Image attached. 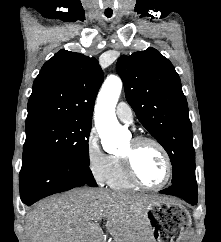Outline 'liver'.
I'll list each match as a JSON object with an SVG mask.
<instances>
[{
	"label": "liver",
	"instance_id": "liver-1",
	"mask_svg": "<svg viewBox=\"0 0 221 242\" xmlns=\"http://www.w3.org/2000/svg\"><path fill=\"white\" fill-rule=\"evenodd\" d=\"M158 196L74 189L39 201L26 216L30 242H104V218L114 242H149L145 207Z\"/></svg>",
	"mask_w": 221,
	"mask_h": 242
}]
</instances>
